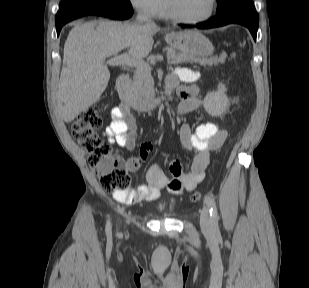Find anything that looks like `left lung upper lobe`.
Here are the masks:
<instances>
[{
    "mask_svg": "<svg viewBox=\"0 0 309 288\" xmlns=\"http://www.w3.org/2000/svg\"><path fill=\"white\" fill-rule=\"evenodd\" d=\"M250 0H217V14L223 13L233 6Z\"/></svg>",
    "mask_w": 309,
    "mask_h": 288,
    "instance_id": "left-lung-upper-lobe-1",
    "label": "left lung upper lobe"
}]
</instances>
